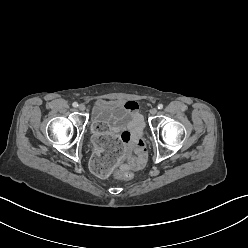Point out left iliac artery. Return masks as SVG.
I'll list each match as a JSON object with an SVG mask.
<instances>
[{
  "label": "left iliac artery",
  "instance_id": "44dca946",
  "mask_svg": "<svg viewBox=\"0 0 248 248\" xmlns=\"http://www.w3.org/2000/svg\"><path fill=\"white\" fill-rule=\"evenodd\" d=\"M158 109H162L163 108V105L162 104H158Z\"/></svg>",
  "mask_w": 248,
  "mask_h": 248
}]
</instances>
